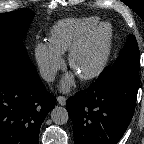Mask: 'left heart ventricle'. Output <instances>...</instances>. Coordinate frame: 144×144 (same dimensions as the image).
I'll use <instances>...</instances> for the list:
<instances>
[{"label":"left heart ventricle","mask_w":144,"mask_h":144,"mask_svg":"<svg viewBox=\"0 0 144 144\" xmlns=\"http://www.w3.org/2000/svg\"><path fill=\"white\" fill-rule=\"evenodd\" d=\"M104 34L95 35L75 59V70L83 73L92 69L100 60L104 50Z\"/></svg>","instance_id":"b2bd125f"}]
</instances>
